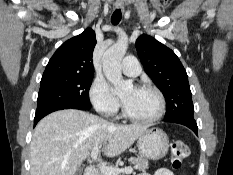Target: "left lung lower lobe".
I'll return each mask as SVG.
<instances>
[{"label":"left lung lower lobe","instance_id":"left-lung-lower-lobe-1","mask_svg":"<svg viewBox=\"0 0 233 175\" xmlns=\"http://www.w3.org/2000/svg\"><path fill=\"white\" fill-rule=\"evenodd\" d=\"M165 122H172V123H178V124L185 125L197 135L198 127L194 119H173V120H169Z\"/></svg>","mask_w":233,"mask_h":175}]
</instances>
